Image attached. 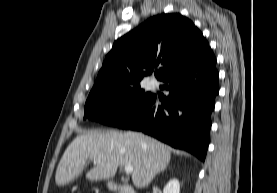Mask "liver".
<instances>
[{
  "mask_svg": "<svg viewBox=\"0 0 277 193\" xmlns=\"http://www.w3.org/2000/svg\"><path fill=\"white\" fill-rule=\"evenodd\" d=\"M94 162L89 180L113 178L118 166H132L135 187L145 188L170 162L171 153L162 142L138 132L88 131L77 136L64 152L55 175L58 186L72 182L86 161Z\"/></svg>",
  "mask_w": 277,
  "mask_h": 193,
  "instance_id": "obj_1",
  "label": "liver"
}]
</instances>
